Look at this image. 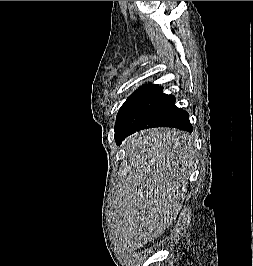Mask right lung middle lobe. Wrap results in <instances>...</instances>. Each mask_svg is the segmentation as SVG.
Instances as JSON below:
<instances>
[{
	"label": "right lung middle lobe",
	"mask_w": 253,
	"mask_h": 266,
	"mask_svg": "<svg viewBox=\"0 0 253 266\" xmlns=\"http://www.w3.org/2000/svg\"><path fill=\"white\" fill-rule=\"evenodd\" d=\"M173 100L161 87L136 92L121 106L116 123H124L132 129L152 126L165 118Z\"/></svg>",
	"instance_id": "1"
}]
</instances>
